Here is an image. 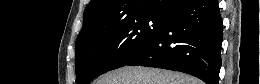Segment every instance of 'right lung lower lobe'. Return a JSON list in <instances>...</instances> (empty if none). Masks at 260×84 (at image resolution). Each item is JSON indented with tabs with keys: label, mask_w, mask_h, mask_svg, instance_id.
<instances>
[{
	"label": "right lung lower lobe",
	"mask_w": 260,
	"mask_h": 84,
	"mask_svg": "<svg viewBox=\"0 0 260 84\" xmlns=\"http://www.w3.org/2000/svg\"><path fill=\"white\" fill-rule=\"evenodd\" d=\"M222 40L218 1L189 0L168 14L159 36L127 65L180 71L218 84Z\"/></svg>",
	"instance_id": "1"
}]
</instances>
